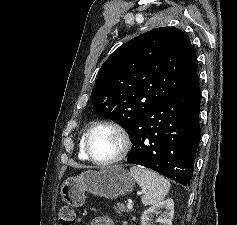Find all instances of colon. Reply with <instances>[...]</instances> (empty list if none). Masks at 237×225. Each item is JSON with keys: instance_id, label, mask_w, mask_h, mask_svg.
Masks as SVG:
<instances>
[{"instance_id": "obj_1", "label": "colon", "mask_w": 237, "mask_h": 225, "mask_svg": "<svg viewBox=\"0 0 237 225\" xmlns=\"http://www.w3.org/2000/svg\"><path fill=\"white\" fill-rule=\"evenodd\" d=\"M77 221L75 210L69 206H63L59 211L60 225H74Z\"/></svg>"}]
</instances>
